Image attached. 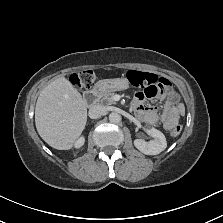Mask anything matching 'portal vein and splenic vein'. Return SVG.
Returning a JSON list of instances; mask_svg holds the SVG:
<instances>
[{
  "instance_id": "18ae733b",
  "label": "portal vein and splenic vein",
  "mask_w": 223,
  "mask_h": 223,
  "mask_svg": "<svg viewBox=\"0 0 223 223\" xmlns=\"http://www.w3.org/2000/svg\"><path fill=\"white\" fill-rule=\"evenodd\" d=\"M114 98L120 99V95H115Z\"/></svg>"
}]
</instances>
